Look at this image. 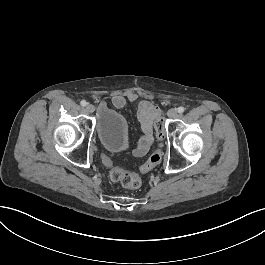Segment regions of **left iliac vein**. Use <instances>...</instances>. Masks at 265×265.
Here are the masks:
<instances>
[{
	"instance_id": "left-iliac-vein-1",
	"label": "left iliac vein",
	"mask_w": 265,
	"mask_h": 265,
	"mask_svg": "<svg viewBox=\"0 0 265 265\" xmlns=\"http://www.w3.org/2000/svg\"><path fill=\"white\" fill-rule=\"evenodd\" d=\"M167 115L169 118H176L177 117V110L176 109H170L167 112Z\"/></svg>"
}]
</instances>
